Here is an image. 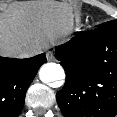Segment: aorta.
Masks as SVG:
<instances>
[{
	"mask_svg": "<svg viewBox=\"0 0 117 117\" xmlns=\"http://www.w3.org/2000/svg\"><path fill=\"white\" fill-rule=\"evenodd\" d=\"M39 78L43 83H50L65 78V72L60 64L46 63L39 71Z\"/></svg>",
	"mask_w": 117,
	"mask_h": 117,
	"instance_id": "aorta-1",
	"label": "aorta"
}]
</instances>
